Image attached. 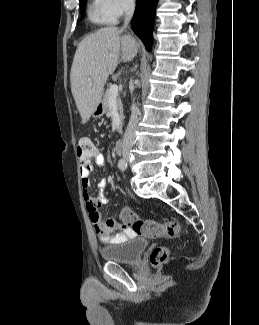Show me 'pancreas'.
Returning <instances> with one entry per match:
<instances>
[{
	"label": "pancreas",
	"mask_w": 259,
	"mask_h": 325,
	"mask_svg": "<svg viewBox=\"0 0 259 325\" xmlns=\"http://www.w3.org/2000/svg\"><path fill=\"white\" fill-rule=\"evenodd\" d=\"M106 110L108 111L109 109V101H110V92L109 89L106 90L103 98ZM116 104H117V110L120 116L121 124L116 128L117 132L122 133V122L124 119V114H123V105L120 97L116 99Z\"/></svg>",
	"instance_id": "obj_1"
}]
</instances>
